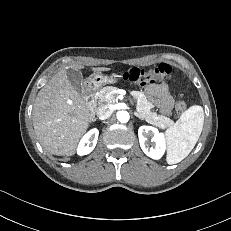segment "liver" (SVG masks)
<instances>
[{"mask_svg": "<svg viewBox=\"0 0 231 231\" xmlns=\"http://www.w3.org/2000/svg\"><path fill=\"white\" fill-rule=\"evenodd\" d=\"M84 66L71 64L59 70L38 92L33 106V126L41 145L51 154L72 156L81 137L94 120L95 111L73 88L67 70ZM101 73L111 68H92Z\"/></svg>", "mask_w": 231, "mask_h": 231, "instance_id": "liver-1", "label": "liver"}]
</instances>
